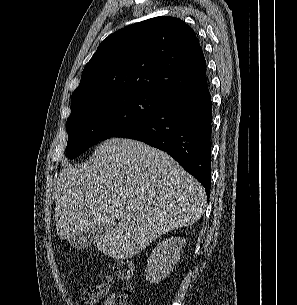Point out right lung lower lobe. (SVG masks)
Returning a JSON list of instances; mask_svg holds the SVG:
<instances>
[{
	"label": "right lung lower lobe",
	"mask_w": 297,
	"mask_h": 305,
	"mask_svg": "<svg viewBox=\"0 0 297 305\" xmlns=\"http://www.w3.org/2000/svg\"><path fill=\"white\" fill-rule=\"evenodd\" d=\"M212 106L207 83L178 92L139 123L115 137L143 141L170 154L210 196Z\"/></svg>",
	"instance_id": "98d812e1"
}]
</instances>
